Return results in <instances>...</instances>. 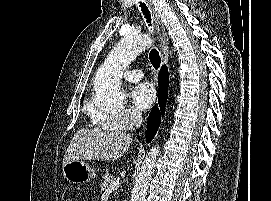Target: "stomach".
<instances>
[{"instance_id": "stomach-1", "label": "stomach", "mask_w": 271, "mask_h": 201, "mask_svg": "<svg viewBox=\"0 0 271 201\" xmlns=\"http://www.w3.org/2000/svg\"><path fill=\"white\" fill-rule=\"evenodd\" d=\"M64 178L71 184L90 182L96 177V171L82 160L71 161L63 166Z\"/></svg>"}]
</instances>
